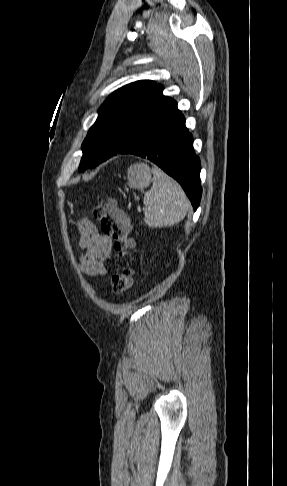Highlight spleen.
<instances>
[{"mask_svg":"<svg viewBox=\"0 0 287 486\" xmlns=\"http://www.w3.org/2000/svg\"><path fill=\"white\" fill-rule=\"evenodd\" d=\"M153 185L143 198L148 207L144 221L149 227H171L180 222L189 209V200L181 186L155 167Z\"/></svg>","mask_w":287,"mask_h":486,"instance_id":"obj_1","label":"spleen"}]
</instances>
